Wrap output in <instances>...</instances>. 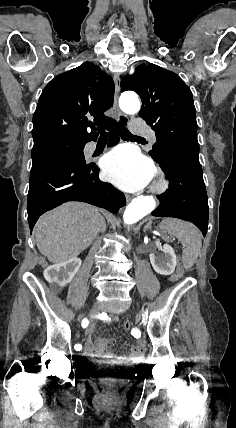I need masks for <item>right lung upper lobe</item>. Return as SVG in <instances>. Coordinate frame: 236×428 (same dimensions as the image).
I'll use <instances>...</instances> for the list:
<instances>
[{
    "mask_svg": "<svg viewBox=\"0 0 236 428\" xmlns=\"http://www.w3.org/2000/svg\"><path fill=\"white\" fill-rule=\"evenodd\" d=\"M97 73L99 85L95 81ZM114 89L111 77L89 62L53 78L42 91L33 115L34 145L97 138L95 132H87V127L93 125L88 117L93 116L99 128L116 123L103 114L113 105Z\"/></svg>",
    "mask_w": 236,
    "mask_h": 428,
    "instance_id": "1",
    "label": "right lung upper lobe"
}]
</instances>
